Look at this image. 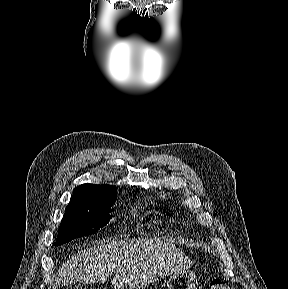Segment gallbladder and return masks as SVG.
<instances>
[{
  "instance_id": "gallbladder-1",
  "label": "gallbladder",
  "mask_w": 288,
  "mask_h": 289,
  "mask_svg": "<svg viewBox=\"0 0 288 289\" xmlns=\"http://www.w3.org/2000/svg\"><path fill=\"white\" fill-rule=\"evenodd\" d=\"M75 282H77V281H75V280L74 281H69V282L67 281L63 285L64 286H68V285H71L72 283H75Z\"/></svg>"
}]
</instances>
